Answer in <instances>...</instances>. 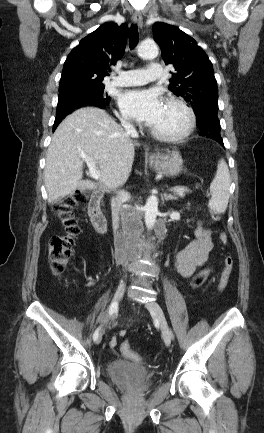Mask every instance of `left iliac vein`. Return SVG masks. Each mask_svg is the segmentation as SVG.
I'll return each instance as SVG.
<instances>
[{"mask_svg": "<svg viewBox=\"0 0 264 433\" xmlns=\"http://www.w3.org/2000/svg\"><path fill=\"white\" fill-rule=\"evenodd\" d=\"M145 307L150 311L153 317L159 322L164 342L167 346L171 344V332L163 313L162 308L155 301H150L145 304Z\"/></svg>", "mask_w": 264, "mask_h": 433, "instance_id": "obj_1", "label": "left iliac vein"}]
</instances>
